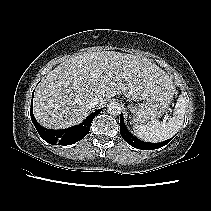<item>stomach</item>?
I'll return each mask as SVG.
<instances>
[{"label": "stomach", "mask_w": 211, "mask_h": 211, "mask_svg": "<svg viewBox=\"0 0 211 211\" xmlns=\"http://www.w3.org/2000/svg\"><path fill=\"white\" fill-rule=\"evenodd\" d=\"M174 93L175 88L172 84L147 95L130 96L129 98L133 101L143 100L142 103L129 105L134 114L133 121L137 124H144L161 117L168 110Z\"/></svg>", "instance_id": "1"}]
</instances>
